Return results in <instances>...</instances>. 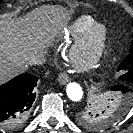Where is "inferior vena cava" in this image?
I'll list each match as a JSON object with an SVG mask.
<instances>
[{
	"instance_id": "obj_1",
	"label": "inferior vena cava",
	"mask_w": 133,
	"mask_h": 133,
	"mask_svg": "<svg viewBox=\"0 0 133 133\" xmlns=\"http://www.w3.org/2000/svg\"><path fill=\"white\" fill-rule=\"evenodd\" d=\"M46 62V56L43 51H36L28 58L29 65H42Z\"/></svg>"
}]
</instances>
